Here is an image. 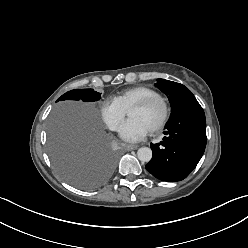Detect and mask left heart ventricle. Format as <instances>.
<instances>
[{"instance_id":"left-heart-ventricle-1","label":"left heart ventricle","mask_w":248,"mask_h":248,"mask_svg":"<svg viewBox=\"0 0 248 248\" xmlns=\"http://www.w3.org/2000/svg\"><path fill=\"white\" fill-rule=\"evenodd\" d=\"M162 108L159 103H155L147 109H132L128 112L130 119H137L142 122L148 130L160 119Z\"/></svg>"}]
</instances>
